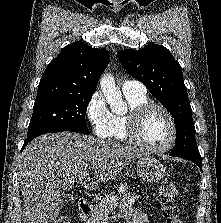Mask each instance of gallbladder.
Returning a JSON list of instances; mask_svg holds the SVG:
<instances>
[{
    "instance_id": "1",
    "label": "gallbladder",
    "mask_w": 221,
    "mask_h": 223,
    "mask_svg": "<svg viewBox=\"0 0 221 223\" xmlns=\"http://www.w3.org/2000/svg\"><path fill=\"white\" fill-rule=\"evenodd\" d=\"M71 201V197L70 196H66L65 197V202H70Z\"/></svg>"
}]
</instances>
